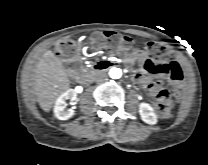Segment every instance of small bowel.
Masks as SVG:
<instances>
[{
	"label": "small bowel",
	"instance_id": "1",
	"mask_svg": "<svg viewBox=\"0 0 208 165\" xmlns=\"http://www.w3.org/2000/svg\"><path fill=\"white\" fill-rule=\"evenodd\" d=\"M125 62L130 65L138 64L140 70L133 73L132 79L145 85L153 96L157 95L159 89H163L158 86V81L154 80L156 78L167 79L169 83L176 86L183 85L188 79L187 72L178 61L148 59L146 50H137L126 55Z\"/></svg>",
	"mask_w": 208,
	"mask_h": 165
}]
</instances>
